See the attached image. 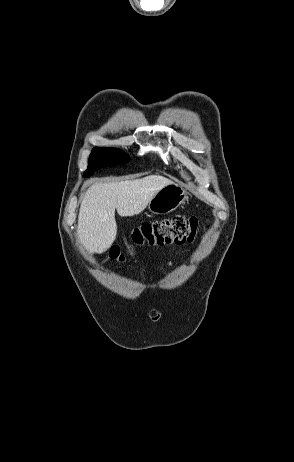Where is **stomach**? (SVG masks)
<instances>
[{
    "label": "stomach",
    "instance_id": "0dacf381",
    "mask_svg": "<svg viewBox=\"0 0 294 462\" xmlns=\"http://www.w3.org/2000/svg\"><path fill=\"white\" fill-rule=\"evenodd\" d=\"M187 199L186 191L177 184L160 189L147 207L152 214H168L176 210Z\"/></svg>",
    "mask_w": 294,
    "mask_h": 462
}]
</instances>
